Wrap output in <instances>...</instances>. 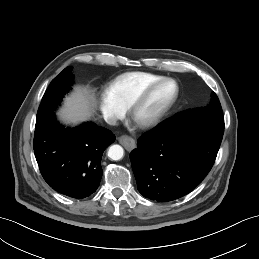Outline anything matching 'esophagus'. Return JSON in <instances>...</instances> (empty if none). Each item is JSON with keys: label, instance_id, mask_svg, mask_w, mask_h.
<instances>
[{"label": "esophagus", "instance_id": "34e87169", "mask_svg": "<svg viewBox=\"0 0 259 259\" xmlns=\"http://www.w3.org/2000/svg\"><path fill=\"white\" fill-rule=\"evenodd\" d=\"M118 141L120 144H122L126 150L131 151L132 149L135 148V140L131 138L130 136L127 135H122L118 138Z\"/></svg>", "mask_w": 259, "mask_h": 259}]
</instances>
